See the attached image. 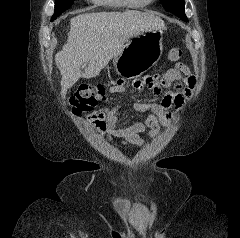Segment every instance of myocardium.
Segmentation results:
<instances>
[{
  "instance_id": "myocardium-1",
  "label": "myocardium",
  "mask_w": 240,
  "mask_h": 238,
  "mask_svg": "<svg viewBox=\"0 0 240 238\" xmlns=\"http://www.w3.org/2000/svg\"><path fill=\"white\" fill-rule=\"evenodd\" d=\"M154 1L155 0H146V1L122 0V2L128 7H134V6H137V5L145 6V5L151 4Z\"/></svg>"
}]
</instances>
